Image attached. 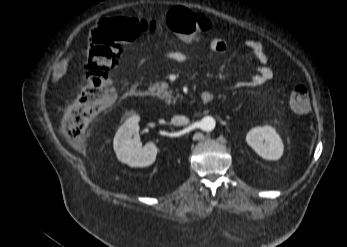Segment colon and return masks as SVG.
<instances>
[{
	"label": "colon",
	"instance_id": "obj_1",
	"mask_svg": "<svg viewBox=\"0 0 347 247\" xmlns=\"http://www.w3.org/2000/svg\"><path fill=\"white\" fill-rule=\"evenodd\" d=\"M167 26L186 41H193L209 30L210 20L201 13L177 7L169 11ZM160 21L154 18L115 16L102 19L94 28L88 49L86 83L80 97L67 107L61 118V132L66 137L81 134L93 117L111 105L115 97L114 69L123 46L146 32H154ZM291 108L299 113L309 109V93L297 85L289 96Z\"/></svg>",
	"mask_w": 347,
	"mask_h": 247
}]
</instances>
